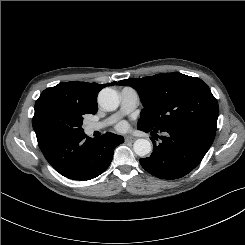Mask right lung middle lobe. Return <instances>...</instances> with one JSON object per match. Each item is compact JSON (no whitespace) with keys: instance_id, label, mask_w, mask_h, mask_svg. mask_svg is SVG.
Instances as JSON below:
<instances>
[{"instance_id":"obj_1","label":"right lung middle lobe","mask_w":245,"mask_h":245,"mask_svg":"<svg viewBox=\"0 0 245 245\" xmlns=\"http://www.w3.org/2000/svg\"><path fill=\"white\" fill-rule=\"evenodd\" d=\"M88 114L59 96H47L35 103L33 126L47 136L59 140L84 133L83 115Z\"/></svg>"}]
</instances>
